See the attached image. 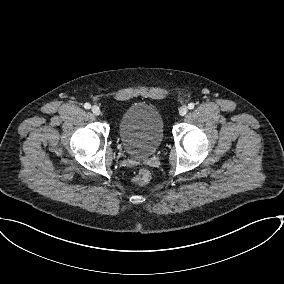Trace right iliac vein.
<instances>
[{
	"label": "right iliac vein",
	"mask_w": 284,
	"mask_h": 284,
	"mask_svg": "<svg viewBox=\"0 0 284 284\" xmlns=\"http://www.w3.org/2000/svg\"><path fill=\"white\" fill-rule=\"evenodd\" d=\"M91 111L94 115H100V113H101L100 108L96 105L92 106Z\"/></svg>",
	"instance_id": "right-iliac-vein-1"
}]
</instances>
